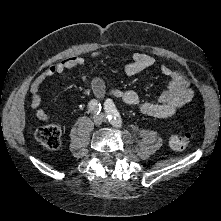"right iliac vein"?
<instances>
[{"instance_id": "63e3f726", "label": "right iliac vein", "mask_w": 221, "mask_h": 221, "mask_svg": "<svg viewBox=\"0 0 221 221\" xmlns=\"http://www.w3.org/2000/svg\"><path fill=\"white\" fill-rule=\"evenodd\" d=\"M93 122L95 125H100L103 122V115H95L93 117Z\"/></svg>"}]
</instances>
